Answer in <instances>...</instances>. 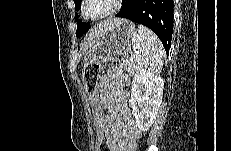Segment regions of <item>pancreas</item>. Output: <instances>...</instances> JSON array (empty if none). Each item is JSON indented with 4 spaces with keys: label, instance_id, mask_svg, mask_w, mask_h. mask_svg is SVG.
<instances>
[{
    "label": "pancreas",
    "instance_id": "1",
    "mask_svg": "<svg viewBox=\"0 0 231 151\" xmlns=\"http://www.w3.org/2000/svg\"><path fill=\"white\" fill-rule=\"evenodd\" d=\"M121 68L127 72L128 75L132 76L134 75L136 69L138 68L137 64L135 61H124L122 63Z\"/></svg>",
    "mask_w": 231,
    "mask_h": 151
}]
</instances>
